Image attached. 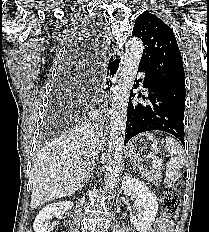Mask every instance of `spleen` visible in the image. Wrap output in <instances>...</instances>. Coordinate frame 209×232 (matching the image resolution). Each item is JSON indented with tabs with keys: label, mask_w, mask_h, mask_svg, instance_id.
<instances>
[{
	"label": "spleen",
	"mask_w": 209,
	"mask_h": 232,
	"mask_svg": "<svg viewBox=\"0 0 209 232\" xmlns=\"http://www.w3.org/2000/svg\"><path fill=\"white\" fill-rule=\"evenodd\" d=\"M165 148L170 154L166 167V180L172 183L181 176L180 169L184 167L186 157L181 145L172 137H166Z\"/></svg>",
	"instance_id": "obj_1"
}]
</instances>
